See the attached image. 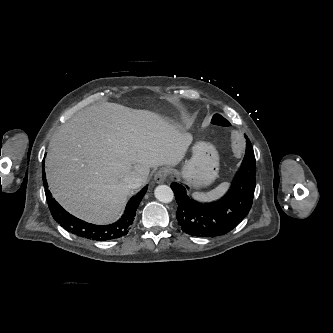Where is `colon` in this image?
Segmentation results:
<instances>
[{"label": "colon", "mask_w": 333, "mask_h": 333, "mask_svg": "<svg viewBox=\"0 0 333 333\" xmlns=\"http://www.w3.org/2000/svg\"><path fill=\"white\" fill-rule=\"evenodd\" d=\"M210 123L217 127H227L228 121L220 114H214L211 116Z\"/></svg>", "instance_id": "5ec220e1"}]
</instances>
